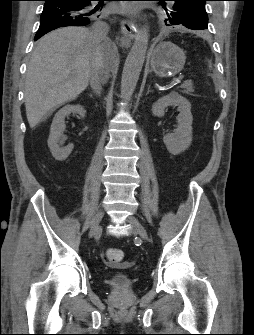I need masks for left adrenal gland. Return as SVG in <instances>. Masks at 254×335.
<instances>
[{
  "mask_svg": "<svg viewBox=\"0 0 254 335\" xmlns=\"http://www.w3.org/2000/svg\"><path fill=\"white\" fill-rule=\"evenodd\" d=\"M149 93H150V85L148 86L146 95H148Z\"/></svg>",
  "mask_w": 254,
  "mask_h": 335,
  "instance_id": "left-adrenal-gland-1",
  "label": "left adrenal gland"
}]
</instances>
